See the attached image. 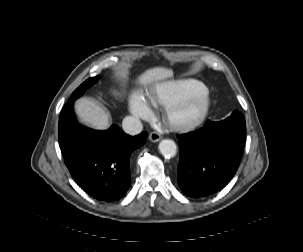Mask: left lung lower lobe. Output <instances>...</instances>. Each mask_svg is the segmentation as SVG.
<instances>
[{"instance_id":"left-lung-lower-lobe-1","label":"left lung lower lobe","mask_w":303,"mask_h":252,"mask_svg":"<svg viewBox=\"0 0 303 252\" xmlns=\"http://www.w3.org/2000/svg\"><path fill=\"white\" fill-rule=\"evenodd\" d=\"M178 184L191 197L223 188L234 176L246 140L245 123L209 121L195 132L178 136Z\"/></svg>"}]
</instances>
